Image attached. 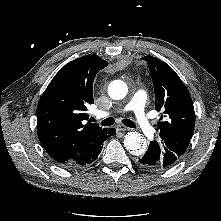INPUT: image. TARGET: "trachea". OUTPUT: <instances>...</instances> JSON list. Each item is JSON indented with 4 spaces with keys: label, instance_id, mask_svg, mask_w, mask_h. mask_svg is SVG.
Segmentation results:
<instances>
[{
    "label": "trachea",
    "instance_id": "trachea-1",
    "mask_svg": "<svg viewBox=\"0 0 221 221\" xmlns=\"http://www.w3.org/2000/svg\"><path fill=\"white\" fill-rule=\"evenodd\" d=\"M115 123V120L114 118L110 117V118H107V119H104L103 121H101V124L103 126H111ZM122 123L127 126V127H130V128H136V125L133 121H131L130 119H123L122 120Z\"/></svg>",
    "mask_w": 221,
    "mask_h": 221
}]
</instances>
